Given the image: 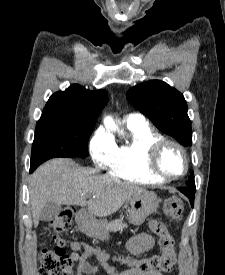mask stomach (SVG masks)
I'll use <instances>...</instances> for the list:
<instances>
[{"label": "stomach", "instance_id": "obj_1", "mask_svg": "<svg viewBox=\"0 0 225 275\" xmlns=\"http://www.w3.org/2000/svg\"><path fill=\"white\" fill-rule=\"evenodd\" d=\"M130 202V213L129 219L133 225H141L145 219L155 213L161 200L157 197L154 192H144L132 196L129 199ZM82 228L89 233L91 236L96 237L100 240H108L110 238L106 225L104 223L95 222L89 220L86 225Z\"/></svg>", "mask_w": 225, "mask_h": 275}]
</instances>
